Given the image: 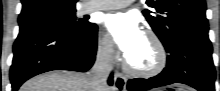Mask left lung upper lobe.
I'll return each mask as SVG.
<instances>
[{
	"mask_svg": "<svg viewBox=\"0 0 220 91\" xmlns=\"http://www.w3.org/2000/svg\"><path fill=\"white\" fill-rule=\"evenodd\" d=\"M143 14L165 49L183 38H208L204 0H147Z\"/></svg>",
	"mask_w": 220,
	"mask_h": 91,
	"instance_id": "1",
	"label": "left lung upper lobe"
}]
</instances>
